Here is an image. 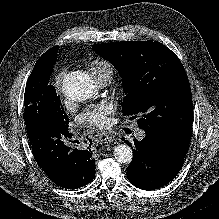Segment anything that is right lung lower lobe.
Returning a JSON list of instances; mask_svg holds the SVG:
<instances>
[{
    "label": "right lung lower lobe",
    "instance_id": "1",
    "mask_svg": "<svg viewBox=\"0 0 219 219\" xmlns=\"http://www.w3.org/2000/svg\"><path fill=\"white\" fill-rule=\"evenodd\" d=\"M26 128L36 162L56 185L77 189L92 181L95 175L92 151L72 149L68 128L48 117H40L26 124Z\"/></svg>",
    "mask_w": 219,
    "mask_h": 219
}]
</instances>
